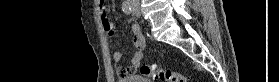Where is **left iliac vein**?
<instances>
[{
	"label": "left iliac vein",
	"mask_w": 279,
	"mask_h": 82,
	"mask_svg": "<svg viewBox=\"0 0 279 82\" xmlns=\"http://www.w3.org/2000/svg\"><path fill=\"white\" fill-rule=\"evenodd\" d=\"M133 14H134L136 17H139V16H140V13L137 12V11H134Z\"/></svg>",
	"instance_id": "obj_1"
}]
</instances>
